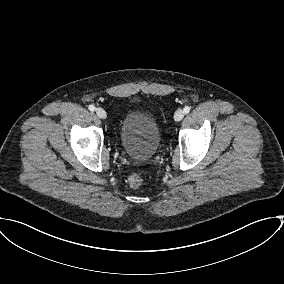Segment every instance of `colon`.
Wrapping results in <instances>:
<instances>
[{
  "label": "colon",
  "instance_id": "obj_1",
  "mask_svg": "<svg viewBox=\"0 0 284 284\" xmlns=\"http://www.w3.org/2000/svg\"><path fill=\"white\" fill-rule=\"evenodd\" d=\"M144 182V178L142 175L134 173L132 175H130L129 177V184L133 187V188H138L140 187Z\"/></svg>",
  "mask_w": 284,
  "mask_h": 284
}]
</instances>
